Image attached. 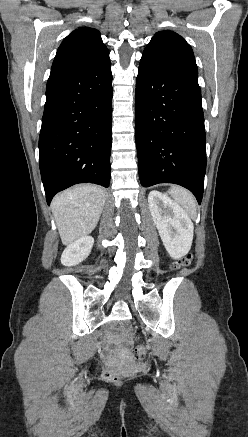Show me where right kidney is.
Masks as SVG:
<instances>
[{
    "instance_id": "1",
    "label": "right kidney",
    "mask_w": 248,
    "mask_h": 437,
    "mask_svg": "<svg viewBox=\"0 0 248 437\" xmlns=\"http://www.w3.org/2000/svg\"><path fill=\"white\" fill-rule=\"evenodd\" d=\"M94 239L91 236H85L73 242L63 251L61 263L64 266H73L85 260L91 252Z\"/></svg>"
}]
</instances>
